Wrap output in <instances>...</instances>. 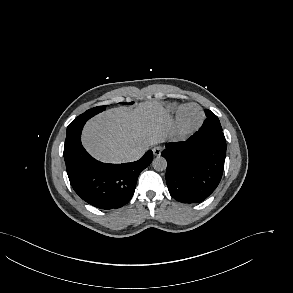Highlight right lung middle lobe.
<instances>
[{
	"instance_id": "dd1d6c3e",
	"label": "right lung middle lobe",
	"mask_w": 293,
	"mask_h": 293,
	"mask_svg": "<svg viewBox=\"0 0 293 293\" xmlns=\"http://www.w3.org/2000/svg\"><path fill=\"white\" fill-rule=\"evenodd\" d=\"M133 103V102H132ZM131 104V103H130ZM105 106H98V107H95V108H92V109H89L87 110L84 114H81L80 116H78L79 118H82V117H92L93 115L105 110Z\"/></svg>"
}]
</instances>
